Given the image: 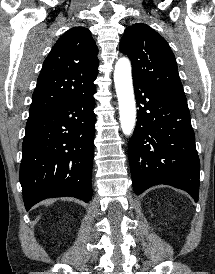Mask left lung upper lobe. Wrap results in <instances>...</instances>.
<instances>
[{
  "label": "left lung upper lobe",
  "mask_w": 215,
  "mask_h": 274,
  "mask_svg": "<svg viewBox=\"0 0 215 274\" xmlns=\"http://www.w3.org/2000/svg\"><path fill=\"white\" fill-rule=\"evenodd\" d=\"M120 51L132 62L133 81L187 102L175 56L166 40L151 27L144 23L127 27Z\"/></svg>",
  "instance_id": "obj_1"
}]
</instances>
